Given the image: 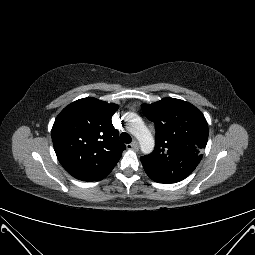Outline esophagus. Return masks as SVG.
<instances>
[{
  "instance_id": "1",
  "label": "esophagus",
  "mask_w": 255,
  "mask_h": 255,
  "mask_svg": "<svg viewBox=\"0 0 255 255\" xmlns=\"http://www.w3.org/2000/svg\"><path fill=\"white\" fill-rule=\"evenodd\" d=\"M127 149L129 150H138L139 146H138V143L136 141H133L132 143L130 144H127Z\"/></svg>"
}]
</instances>
